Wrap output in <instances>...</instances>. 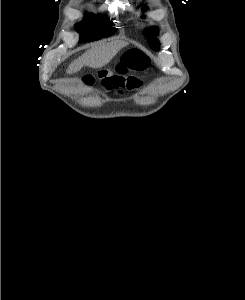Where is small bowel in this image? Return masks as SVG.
I'll use <instances>...</instances> for the list:
<instances>
[{
	"instance_id": "c3829d8e",
	"label": "small bowel",
	"mask_w": 245,
	"mask_h": 300,
	"mask_svg": "<svg viewBox=\"0 0 245 300\" xmlns=\"http://www.w3.org/2000/svg\"><path fill=\"white\" fill-rule=\"evenodd\" d=\"M101 88L105 91H118L122 93V89L128 90L137 88L140 86V82L134 77L124 78L115 74H102L101 76Z\"/></svg>"
}]
</instances>
